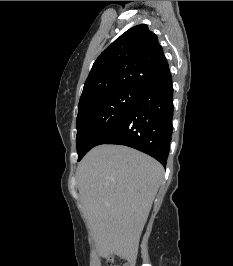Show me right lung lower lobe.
<instances>
[{
  "mask_svg": "<svg viewBox=\"0 0 233 266\" xmlns=\"http://www.w3.org/2000/svg\"><path fill=\"white\" fill-rule=\"evenodd\" d=\"M172 99L169 71L143 91L130 110L101 137L97 145H126L154 157L165 167L172 135Z\"/></svg>",
  "mask_w": 233,
  "mask_h": 266,
  "instance_id": "98d812e1",
  "label": "right lung lower lobe"
}]
</instances>
